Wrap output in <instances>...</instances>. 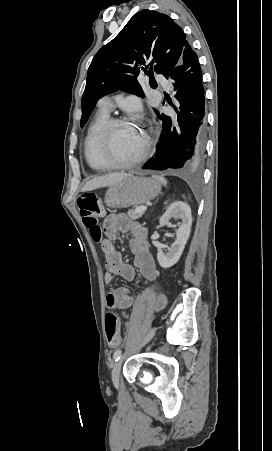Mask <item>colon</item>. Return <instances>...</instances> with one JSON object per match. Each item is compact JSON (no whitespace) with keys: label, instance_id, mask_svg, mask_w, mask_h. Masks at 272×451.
I'll list each match as a JSON object with an SVG mask.
<instances>
[{"label":"colon","instance_id":"5ec220e1","mask_svg":"<svg viewBox=\"0 0 272 451\" xmlns=\"http://www.w3.org/2000/svg\"><path fill=\"white\" fill-rule=\"evenodd\" d=\"M77 206L80 210V215L83 223L94 228L92 237L97 241L101 238V232L98 228V220L104 215L103 200L93 192H89L78 196L76 200ZM105 335L112 347H119L121 341L116 336L119 333V325L116 315L107 313L104 320Z\"/></svg>","mask_w":272,"mask_h":451}]
</instances>
